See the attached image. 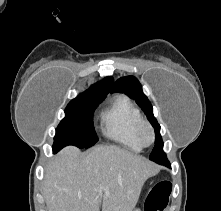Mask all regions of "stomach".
<instances>
[{"instance_id": "stomach-1", "label": "stomach", "mask_w": 221, "mask_h": 211, "mask_svg": "<svg viewBox=\"0 0 221 211\" xmlns=\"http://www.w3.org/2000/svg\"><path fill=\"white\" fill-rule=\"evenodd\" d=\"M133 211H141V209L140 208H134Z\"/></svg>"}]
</instances>
